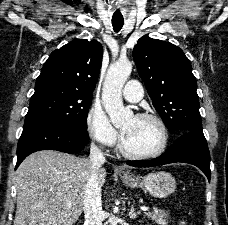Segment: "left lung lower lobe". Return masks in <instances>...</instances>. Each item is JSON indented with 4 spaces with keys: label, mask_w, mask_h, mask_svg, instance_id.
<instances>
[{
    "label": "left lung lower lobe",
    "mask_w": 228,
    "mask_h": 225,
    "mask_svg": "<svg viewBox=\"0 0 228 225\" xmlns=\"http://www.w3.org/2000/svg\"><path fill=\"white\" fill-rule=\"evenodd\" d=\"M183 162L200 168L210 181V153L203 132H184L161 156L145 161H127L134 167H151Z\"/></svg>",
    "instance_id": "0a47b994"
}]
</instances>
